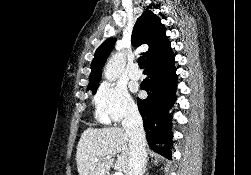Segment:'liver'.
<instances>
[{
    "label": "liver",
    "mask_w": 251,
    "mask_h": 175,
    "mask_svg": "<svg viewBox=\"0 0 251 175\" xmlns=\"http://www.w3.org/2000/svg\"><path fill=\"white\" fill-rule=\"evenodd\" d=\"M130 135L123 127H87L77 145L76 163L79 175H105L110 167L126 173L130 159ZM114 159H102L106 155H117ZM99 157V161H95Z\"/></svg>",
    "instance_id": "1"
}]
</instances>
